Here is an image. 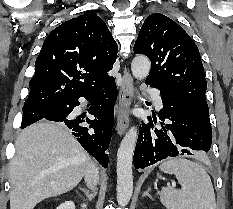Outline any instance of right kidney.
I'll return each mask as SVG.
<instances>
[{
	"label": "right kidney",
	"mask_w": 233,
	"mask_h": 209,
	"mask_svg": "<svg viewBox=\"0 0 233 209\" xmlns=\"http://www.w3.org/2000/svg\"><path fill=\"white\" fill-rule=\"evenodd\" d=\"M82 209H87L86 204L81 205ZM56 209H75V204L71 201L64 202L60 206H58Z\"/></svg>",
	"instance_id": "right-kidney-1"
}]
</instances>
